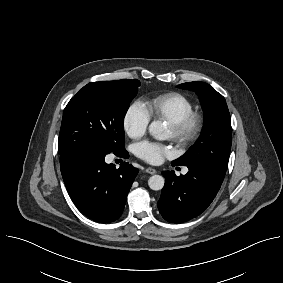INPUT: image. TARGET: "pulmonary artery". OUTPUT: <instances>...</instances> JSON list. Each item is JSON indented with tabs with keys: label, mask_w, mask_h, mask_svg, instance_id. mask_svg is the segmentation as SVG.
I'll use <instances>...</instances> for the list:
<instances>
[{
	"label": "pulmonary artery",
	"mask_w": 283,
	"mask_h": 283,
	"mask_svg": "<svg viewBox=\"0 0 283 283\" xmlns=\"http://www.w3.org/2000/svg\"><path fill=\"white\" fill-rule=\"evenodd\" d=\"M184 173H186L187 172V169H184V171H183Z\"/></svg>",
	"instance_id": "e3ab8cb5"
}]
</instances>
